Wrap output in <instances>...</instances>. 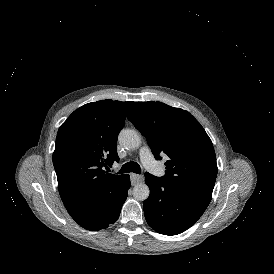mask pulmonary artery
Instances as JSON below:
<instances>
[{
  "label": "pulmonary artery",
  "mask_w": 274,
  "mask_h": 274,
  "mask_svg": "<svg viewBox=\"0 0 274 274\" xmlns=\"http://www.w3.org/2000/svg\"><path fill=\"white\" fill-rule=\"evenodd\" d=\"M140 157L142 162H144L148 158H152V153L147 146H144L140 150ZM148 165H150L151 171H156V173L161 174V170H159L158 168H154L153 165H151V161H148Z\"/></svg>",
  "instance_id": "pulmonary-artery-1"
}]
</instances>
